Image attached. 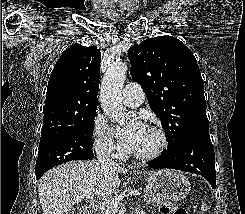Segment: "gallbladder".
<instances>
[{
	"instance_id": "gallbladder-1",
	"label": "gallbladder",
	"mask_w": 245,
	"mask_h": 214,
	"mask_svg": "<svg viewBox=\"0 0 245 214\" xmlns=\"http://www.w3.org/2000/svg\"><path fill=\"white\" fill-rule=\"evenodd\" d=\"M74 213H75V208H70L64 214H74Z\"/></svg>"
}]
</instances>
